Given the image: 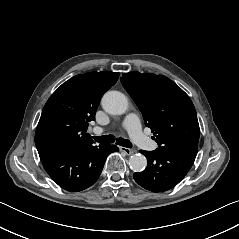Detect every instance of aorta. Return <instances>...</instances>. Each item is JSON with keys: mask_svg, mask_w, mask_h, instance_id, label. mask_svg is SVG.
<instances>
[{"mask_svg": "<svg viewBox=\"0 0 239 239\" xmlns=\"http://www.w3.org/2000/svg\"><path fill=\"white\" fill-rule=\"evenodd\" d=\"M103 109L112 115H123L129 103L127 97L119 91H108L102 98ZM130 167L134 172H141L147 166V159L142 155L130 156Z\"/></svg>", "mask_w": 239, "mask_h": 239, "instance_id": "1", "label": "aorta"}]
</instances>
